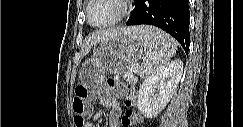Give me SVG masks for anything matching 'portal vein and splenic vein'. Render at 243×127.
I'll return each instance as SVG.
<instances>
[{
    "label": "portal vein and splenic vein",
    "instance_id": "portal-vein-and-splenic-vein-1",
    "mask_svg": "<svg viewBox=\"0 0 243 127\" xmlns=\"http://www.w3.org/2000/svg\"><path fill=\"white\" fill-rule=\"evenodd\" d=\"M133 71L136 72V67L133 68Z\"/></svg>",
    "mask_w": 243,
    "mask_h": 127
}]
</instances>
